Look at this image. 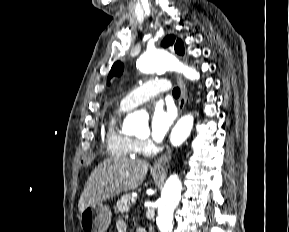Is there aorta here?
I'll use <instances>...</instances> for the list:
<instances>
[{"instance_id":"obj_1","label":"aorta","mask_w":289,"mask_h":232,"mask_svg":"<svg viewBox=\"0 0 289 232\" xmlns=\"http://www.w3.org/2000/svg\"><path fill=\"white\" fill-rule=\"evenodd\" d=\"M137 68L142 73H164L175 70L182 73L190 80H198L199 72L183 65L172 58L163 49L149 51L140 56ZM194 123L191 114L182 117L173 128L170 141L173 146H180L190 135ZM123 130L135 134H144L149 131L147 117L140 113L128 115L123 122ZM182 184L177 175H171L161 192V198L157 201L158 216L156 219L160 232H171L173 229V213L181 198Z\"/></svg>"}]
</instances>
